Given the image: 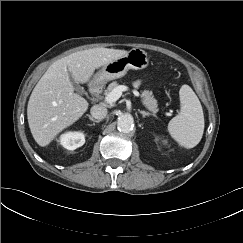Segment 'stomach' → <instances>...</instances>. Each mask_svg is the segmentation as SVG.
<instances>
[{
	"label": "stomach",
	"mask_w": 243,
	"mask_h": 243,
	"mask_svg": "<svg viewBox=\"0 0 243 243\" xmlns=\"http://www.w3.org/2000/svg\"><path fill=\"white\" fill-rule=\"evenodd\" d=\"M149 65L147 53L140 48H133L124 56L113 60L104 65L95 76L94 81L97 84H104L110 80L124 76L129 69L140 70Z\"/></svg>",
	"instance_id": "1"
}]
</instances>
